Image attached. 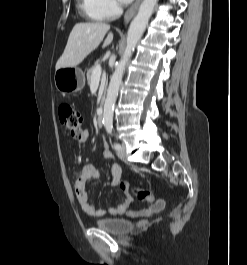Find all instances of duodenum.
Wrapping results in <instances>:
<instances>
[{
	"label": "duodenum",
	"mask_w": 247,
	"mask_h": 265,
	"mask_svg": "<svg viewBox=\"0 0 247 265\" xmlns=\"http://www.w3.org/2000/svg\"><path fill=\"white\" fill-rule=\"evenodd\" d=\"M103 118H104L103 113H102V112L99 113L98 116H97V124H98L99 126H103Z\"/></svg>",
	"instance_id": "410a0bca"
}]
</instances>
